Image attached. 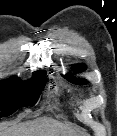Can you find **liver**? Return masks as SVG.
I'll return each mask as SVG.
<instances>
[{
    "instance_id": "1",
    "label": "liver",
    "mask_w": 117,
    "mask_h": 136,
    "mask_svg": "<svg viewBox=\"0 0 117 136\" xmlns=\"http://www.w3.org/2000/svg\"><path fill=\"white\" fill-rule=\"evenodd\" d=\"M65 130H67V128L59 123L50 120L38 119L16 125L8 130L6 129L5 135L0 133V136H7L6 134H13L10 136H65L62 133Z\"/></svg>"
}]
</instances>
